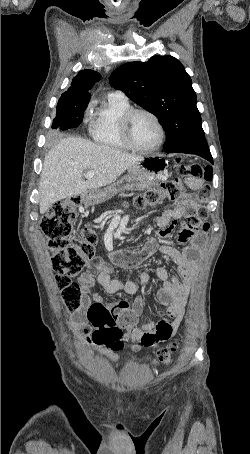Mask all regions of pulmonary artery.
Returning <instances> with one entry per match:
<instances>
[{"label":"pulmonary artery","mask_w":250,"mask_h":454,"mask_svg":"<svg viewBox=\"0 0 250 454\" xmlns=\"http://www.w3.org/2000/svg\"><path fill=\"white\" fill-rule=\"evenodd\" d=\"M109 96L115 97V98H118V99H121V100H127L126 95L123 92H121V91L112 92V93L109 94Z\"/></svg>","instance_id":"obj_1"}]
</instances>
